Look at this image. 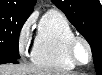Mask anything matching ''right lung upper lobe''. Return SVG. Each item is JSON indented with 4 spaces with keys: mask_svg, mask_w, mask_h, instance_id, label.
I'll return each instance as SVG.
<instances>
[{
    "mask_svg": "<svg viewBox=\"0 0 102 75\" xmlns=\"http://www.w3.org/2000/svg\"><path fill=\"white\" fill-rule=\"evenodd\" d=\"M36 0H0V10L31 13Z\"/></svg>",
    "mask_w": 102,
    "mask_h": 75,
    "instance_id": "obj_1",
    "label": "right lung upper lobe"
}]
</instances>
